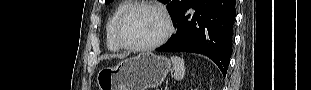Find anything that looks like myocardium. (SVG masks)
<instances>
[{
  "label": "myocardium",
  "mask_w": 311,
  "mask_h": 90,
  "mask_svg": "<svg viewBox=\"0 0 311 90\" xmlns=\"http://www.w3.org/2000/svg\"><path fill=\"white\" fill-rule=\"evenodd\" d=\"M147 8L151 9L155 12H157L163 19L165 24V30L162 34V36L156 40L153 43L142 45V46H133L128 43H126L122 36H121V28L125 20L136 10ZM173 33V23L171 20L170 15L168 12L160 5L150 2H141V3H135L132 6H130L127 10H125L120 17L118 18L116 25H115V39L119 46L125 50L131 51V52H148L155 48H158L159 46L163 45L172 35Z\"/></svg>",
  "instance_id": "obj_1"
}]
</instances>
